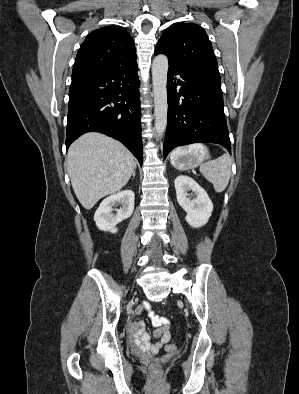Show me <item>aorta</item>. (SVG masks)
<instances>
[{
  "label": "aorta",
  "instance_id": "762f6f07",
  "mask_svg": "<svg viewBox=\"0 0 299 394\" xmlns=\"http://www.w3.org/2000/svg\"><path fill=\"white\" fill-rule=\"evenodd\" d=\"M168 58L165 55H157L152 63V81L154 92V116L155 130L161 135L167 125V72Z\"/></svg>",
  "mask_w": 299,
  "mask_h": 394
}]
</instances>
